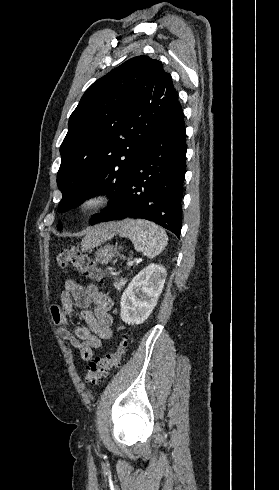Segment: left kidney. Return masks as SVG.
Segmentation results:
<instances>
[{
  "instance_id": "obj_1",
  "label": "left kidney",
  "mask_w": 279,
  "mask_h": 490,
  "mask_svg": "<svg viewBox=\"0 0 279 490\" xmlns=\"http://www.w3.org/2000/svg\"><path fill=\"white\" fill-rule=\"evenodd\" d=\"M167 278L164 266L149 264L143 268L128 288L124 290L120 300V318L125 324H143L152 314Z\"/></svg>"
}]
</instances>
